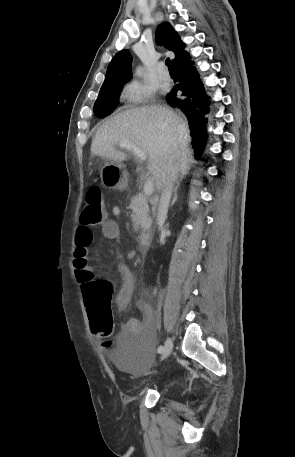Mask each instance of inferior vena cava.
<instances>
[{"mask_svg":"<svg viewBox=\"0 0 295 457\" xmlns=\"http://www.w3.org/2000/svg\"><path fill=\"white\" fill-rule=\"evenodd\" d=\"M178 176V167L176 164L170 166L169 171L163 179L162 192L158 205L157 224L160 230H163V225L167 217L170 198L172 195L174 183Z\"/></svg>","mask_w":295,"mask_h":457,"instance_id":"1","label":"inferior vena cava"}]
</instances>
